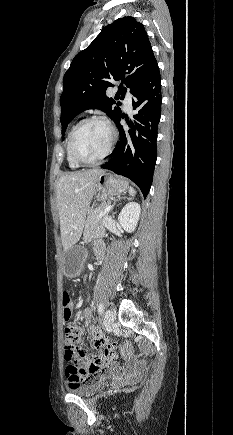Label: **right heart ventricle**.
<instances>
[{"label": "right heart ventricle", "instance_id": "1", "mask_svg": "<svg viewBox=\"0 0 233 435\" xmlns=\"http://www.w3.org/2000/svg\"><path fill=\"white\" fill-rule=\"evenodd\" d=\"M70 134H71V131L68 133V137H67V140H66V160H67V164H68V166H69L71 169H78V168L80 167V165H78V164L74 161V159L72 158L71 153H70V147H69V138H70Z\"/></svg>", "mask_w": 233, "mask_h": 435}]
</instances>
